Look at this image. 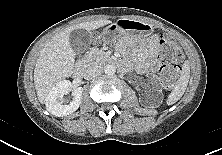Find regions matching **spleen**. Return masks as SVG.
<instances>
[{
	"instance_id": "3e777b00",
	"label": "spleen",
	"mask_w": 222,
	"mask_h": 155,
	"mask_svg": "<svg viewBox=\"0 0 222 155\" xmlns=\"http://www.w3.org/2000/svg\"><path fill=\"white\" fill-rule=\"evenodd\" d=\"M190 78V65L189 62H185L182 66L181 75L177 81V84L173 88L172 92L167 98V105L176 103L184 94Z\"/></svg>"
}]
</instances>
